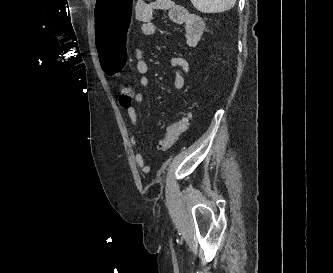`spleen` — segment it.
<instances>
[{
    "label": "spleen",
    "instance_id": "1",
    "mask_svg": "<svg viewBox=\"0 0 333 273\" xmlns=\"http://www.w3.org/2000/svg\"><path fill=\"white\" fill-rule=\"evenodd\" d=\"M191 3L202 13H218L234 7L236 0H191Z\"/></svg>",
    "mask_w": 333,
    "mask_h": 273
}]
</instances>
